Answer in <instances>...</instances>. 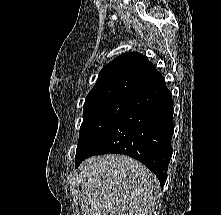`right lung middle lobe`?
I'll return each instance as SVG.
<instances>
[{"mask_svg": "<svg viewBox=\"0 0 221 215\" xmlns=\"http://www.w3.org/2000/svg\"><path fill=\"white\" fill-rule=\"evenodd\" d=\"M130 102L131 99L111 98L84 104L75 159L91 151Z\"/></svg>", "mask_w": 221, "mask_h": 215, "instance_id": "dd1d6c3e", "label": "right lung middle lobe"}]
</instances>
